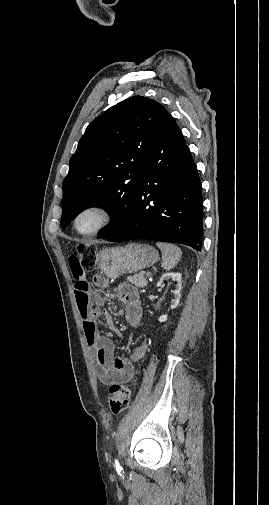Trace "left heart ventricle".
<instances>
[{"mask_svg": "<svg viewBox=\"0 0 269 505\" xmlns=\"http://www.w3.org/2000/svg\"><path fill=\"white\" fill-rule=\"evenodd\" d=\"M101 214L96 211H90L83 214L77 222L80 231L87 232L95 228L101 221Z\"/></svg>", "mask_w": 269, "mask_h": 505, "instance_id": "obj_1", "label": "left heart ventricle"}]
</instances>
